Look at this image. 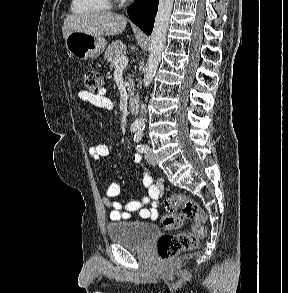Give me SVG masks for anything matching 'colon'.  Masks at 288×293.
Here are the masks:
<instances>
[{
    "label": "colon",
    "mask_w": 288,
    "mask_h": 293,
    "mask_svg": "<svg viewBox=\"0 0 288 293\" xmlns=\"http://www.w3.org/2000/svg\"><path fill=\"white\" fill-rule=\"evenodd\" d=\"M84 83L88 91L98 93L103 89L104 81L100 72L88 69L84 74ZM167 213L162 218L161 225L166 230L181 227L185 218L193 221L191 231L176 235L164 234L157 242V251L162 261L173 258L182 250L194 249L205 237V214L199 204L184 194H174L164 203ZM180 210L181 212H178Z\"/></svg>",
    "instance_id": "1"
}]
</instances>
